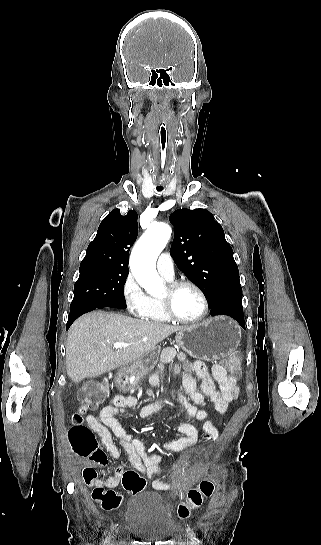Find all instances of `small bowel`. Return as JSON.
<instances>
[{
  "label": "small bowel",
  "instance_id": "c3829d8e",
  "mask_svg": "<svg viewBox=\"0 0 321 545\" xmlns=\"http://www.w3.org/2000/svg\"><path fill=\"white\" fill-rule=\"evenodd\" d=\"M211 373L212 375H210L204 363L200 361L191 362V372L185 373L182 377L181 383L184 394L173 392L167 398L160 399L147 406L142 411V417L145 419L152 417L163 407L167 399L176 400L185 406L189 417L204 421L203 429L206 439H217L218 431L212 422L208 420V413L204 410H198L197 406L204 405L206 399H209L214 409L218 413L224 414L229 403L238 396V387L236 379L231 377L223 366L219 364L213 365ZM195 376L201 381L200 390L197 388ZM215 383L218 384V387H216ZM137 404L138 400L133 396L117 395L98 415L87 416L86 423L99 436L102 445L113 459H119L120 452L112 439V434L128 454L129 462L134 469L142 474H146L149 478H153L155 475L161 473L158 465L161 458V451H178L190 446L197 440L198 432L192 425L180 423L176 425L175 429L183 436L164 444L159 452L149 455L143 443L126 432L116 419V415L125 413L127 409L135 407ZM91 459L99 466H105L108 463V458L103 452L92 456ZM122 474V466H118L115 473L105 479H99L95 469L92 467H87L83 471L84 481L87 485L109 489H113L119 485ZM152 485L155 489L163 491L172 488L170 484L160 480H154Z\"/></svg>",
  "mask_w": 321,
  "mask_h": 545
}]
</instances>
